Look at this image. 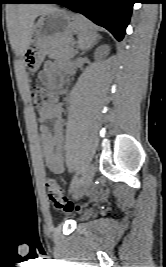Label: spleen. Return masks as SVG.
<instances>
[{
	"mask_svg": "<svg viewBox=\"0 0 166 267\" xmlns=\"http://www.w3.org/2000/svg\"><path fill=\"white\" fill-rule=\"evenodd\" d=\"M98 34L95 32L94 25L82 17L80 28L78 31V47L81 50L92 47L96 41Z\"/></svg>",
	"mask_w": 166,
	"mask_h": 267,
	"instance_id": "obj_1",
	"label": "spleen"
}]
</instances>
